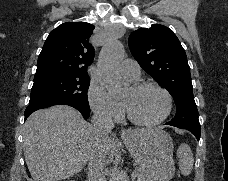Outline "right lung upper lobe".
<instances>
[{
  "instance_id": "1",
  "label": "right lung upper lobe",
  "mask_w": 228,
  "mask_h": 181,
  "mask_svg": "<svg viewBox=\"0 0 228 181\" xmlns=\"http://www.w3.org/2000/svg\"><path fill=\"white\" fill-rule=\"evenodd\" d=\"M94 26L86 22H66L52 30L37 62L34 78L63 74L88 77L94 49L89 43Z\"/></svg>"
}]
</instances>
